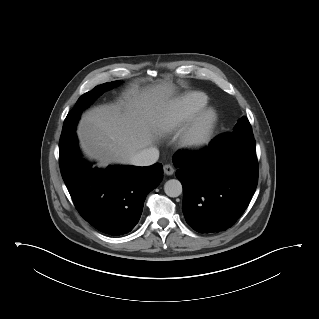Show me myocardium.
I'll return each instance as SVG.
<instances>
[{
	"instance_id": "obj_1",
	"label": "myocardium",
	"mask_w": 319,
	"mask_h": 319,
	"mask_svg": "<svg viewBox=\"0 0 319 319\" xmlns=\"http://www.w3.org/2000/svg\"><path fill=\"white\" fill-rule=\"evenodd\" d=\"M219 124V114L213 107H204L178 136V145L187 151H197L210 143Z\"/></svg>"
}]
</instances>
